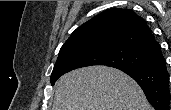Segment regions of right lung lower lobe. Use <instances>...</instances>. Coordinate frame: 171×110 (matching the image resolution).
Masks as SVG:
<instances>
[{
    "label": "right lung lower lobe",
    "mask_w": 171,
    "mask_h": 110,
    "mask_svg": "<svg viewBox=\"0 0 171 110\" xmlns=\"http://www.w3.org/2000/svg\"><path fill=\"white\" fill-rule=\"evenodd\" d=\"M132 77L144 91L147 100L155 110H169V74L166 70V61L161 51L156 60L148 66L134 69H122Z\"/></svg>",
    "instance_id": "98d812e1"
}]
</instances>
